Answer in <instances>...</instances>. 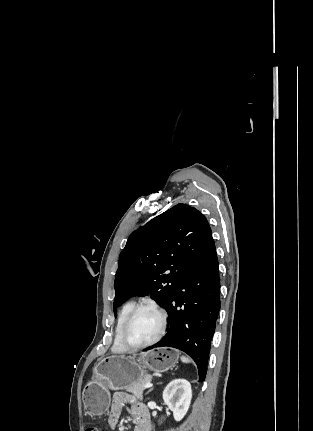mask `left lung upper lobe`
Masks as SVG:
<instances>
[{"label": "left lung upper lobe", "instance_id": "5c2ea615", "mask_svg": "<svg viewBox=\"0 0 313 431\" xmlns=\"http://www.w3.org/2000/svg\"><path fill=\"white\" fill-rule=\"evenodd\" d=\"M210 236L206 217L183 203L134 231L119 256L114 314L136 295H150L166 309Z\"/></svg>", "mask_w": 313, "mask_h": 431}]
</instances>
